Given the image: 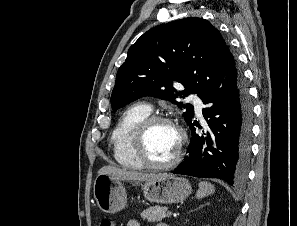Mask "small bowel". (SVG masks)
<instances>
[{
  "instance_id": "1",
  "label": "small bowel",
  "mask_w": 297,
  "mask_h": 226,
  "mask_svg": "<svg viewBox=\"0 0 297 226\" xmlns=\"http://www.w3.org/2000/svg\"><path fill=\"white\" fill-rule=\"evenodd\" d=\"M127 226H140V222L137 219H131ZM158 226H165V225H158Z\"/></svg>"
}]
</instances>
